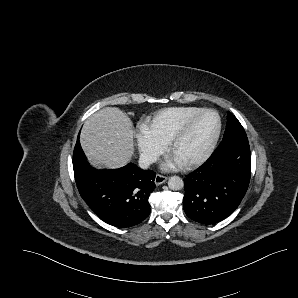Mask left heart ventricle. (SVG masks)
I'll use <instances>...</instances> for the list:
<instances>
[{"mask_svg":"<svg viewBox=\"0 0 298 298\" xmlns=\"http://www.w3.org/2000/svg\"><path fill=\"white\" fill-rule=\"evenodd\" d=\"M216 129L213 115L205 114L196 119L173 147L170 157L184 164L195 158L212 138Z\"/></svg>","mask_w":298,"mask_h":298,"instance_id":"left-heart-ventricle-1","label":"left heart ventricle"}]
</instances>
